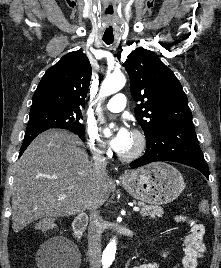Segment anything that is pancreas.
Listing matches in <instances>:
<instances>
[{"mask_svg": "<svg viewBox=\"0 0 221 268\" xmlns=\"http://www.w3.org/2000/svg\"><path fill=\"white\" fill-rule=\"evenodd\" d=\"M137 204L142 208V216H150L151 218H155L162 217L164 213L163 209L159 206L146 205L143 202H138Z\"/></svg>", "mask_w": 221, "mask_h": 268, "instance_id": "cf45deb5", "label": "pancreas"}]
</instances>
